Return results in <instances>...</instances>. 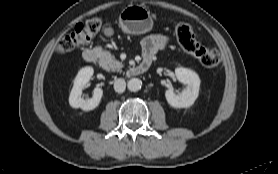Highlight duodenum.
Segmentation results:
<instances>
[{"instance_id":"duodenum-1","label":"duodenum","mask_w":278,"mask_h":174,"mask_svg":"<svg viewBox=\"0 0 278 174\" xmlns=\"http://www.w3.org/2000/svg\"><path fill=\"white\" fill-rule=\"evenodd\" d=\"M83 58L88 63H95L98 59V52L95 49H86L83 52ZM152 59L145 57L141 62L130 68L129 73L131 75H139L146 72L151 66Z\"/></svg>"}]
</instances>
